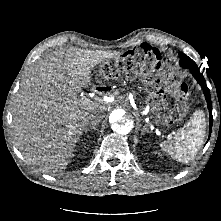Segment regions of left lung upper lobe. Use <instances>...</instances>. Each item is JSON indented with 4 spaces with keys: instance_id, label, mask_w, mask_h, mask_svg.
Instances as JSON below:
<instances>
[{
    "instance_id": "left-lung-upper-lobe-1",
    "label": "left lung upper lobe",
    "mask_w": 221,
    "mask_h": 221,
    "mask_svg": "<svg viewBox=\"0 0 221 221\" xmlns=\"http://www.w3.org/2000/svg\"><path fill=\"white\" fill-rule=\"evenodd\" d=\"M179 56H180V65L183 68H187V69L198 68L196 63L192 59H190L188 56H186L185 54L179 53Z\"/></svg>"
}]
</instances>
